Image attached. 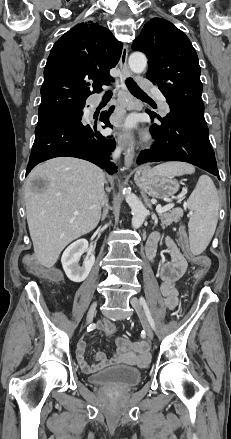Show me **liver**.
<instances>
[{"mask_svg": "<svg viewBox=\"0 0 231 439\" xmlns=\"http://www.w3.org/2000/svg\"><path fill=\"white\" fill-rule=\"evenodd\" d=\"M37 178L47 182L41 192L32 185ZM104 182L99 167L73 157L53 158L31 171L25 186L26 215L34 253L42 266L52 268L70 242L96 228Z\"/></svg>", "mask_w": 231, "mask_h": 439, "instance_id": "1", "label": "liver"}]
</instances>
